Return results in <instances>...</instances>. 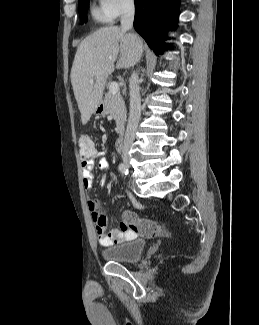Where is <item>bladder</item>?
Returning <instances> with one entry per match:
<instances>
[{
    "label": "bladder",
    "instance_id": "obj_1",
    "mask_svg": "<svg viewBox=\"0 0 259 325\" xmlns=\"http://www.w3.org/2000/svg\"><path fill=\"white\" fill-rule=\"evenodd\" d=\"M145 248V240L135 239L126 243L106 247L101 253L103 258L108 262L135 263L140 260Z\"/></svg>",
    "mask_w": 259,
    "mask_h": 325
}]
</instances>
